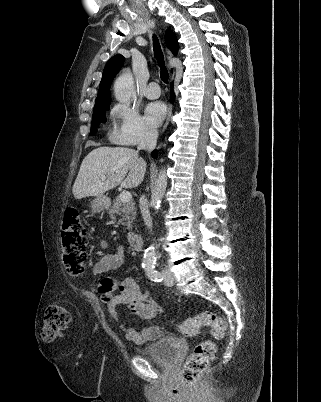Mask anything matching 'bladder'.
<instances>
[{
    "mask_svg": "<svg viewBox=\"0 0 321 402\" xmlns=\"http://www.w3.org/2000/svg\"><path fill=\"white\" fill-rule=\"evenodd\" d=\"M181 342L176 335L161 331L154 343L142 349L141 355L161 366L169 367L178 359Z\"/></svg>",
    "mask_w": 321,
    "mask_h": 402,
    "instance_id": "bladder-1",
    "label": "bladder"
}]
</instances>
